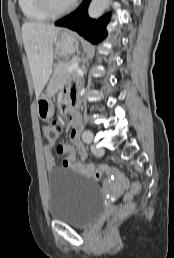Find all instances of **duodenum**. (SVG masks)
Returning <instances> with one entry per match:
<instances>
[{"instance_id": "duodenum-1", "label": "duodenum", "mask_w": 174, "mask_h": 258, "mask_svg": "<svg viewBox=\"0 0 174 258\" xmlns=\"http://www.w3.org/2000/svg\"><path fill=\"white\" fill-rule=\"evenodd\" d=\"M77 106H78V99H77L76 95L70 96L68 101H67V112H68V114L73 115Z\"/></svg>"}]
</instances>
